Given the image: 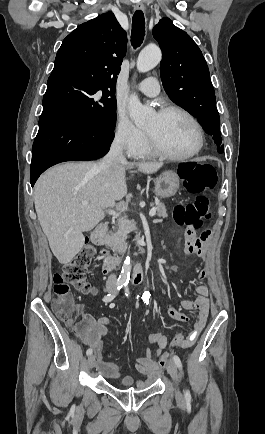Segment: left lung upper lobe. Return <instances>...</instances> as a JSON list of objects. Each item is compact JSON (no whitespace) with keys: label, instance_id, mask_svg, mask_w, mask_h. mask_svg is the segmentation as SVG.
I'll return each mask as SVG.
<instances>
[{"label":"left lung upper lobe","instance_id":"obj_1","mask_svg":"<svg viewBox=\"0 0 265 434\" xmlns=\"http://www.w3.org/2000/svg\"><path fill=\"white\" fill-rule=\"evenodd\" d=\"M162 50L160 75L169 98L195 116L223 149L215 93L203 54L186 32L163 18L153 29Z\"/></svg>","mask_w":265,"mask_h":434}]
</instances>
